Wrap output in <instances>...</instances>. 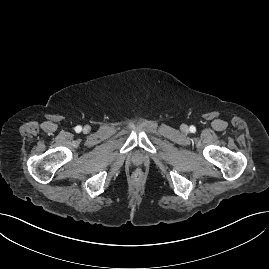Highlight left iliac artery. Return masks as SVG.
<instances>
[{
  "mask_svg": "<svg viewBox=\"0 0 269 269\" xmlns=\"http://www.w3.org/2000/svg\"><path fill=\"white\" fill-rule=\"evenodd\" d=\"M190 131L194 133L196 131V128L194 126H190Z\"/></svg>",
  "mask_w": 269,
  "mask_h": 269,
  "instance_id": "44dca946",
  "label": "left iliac artery"
}]
</instances>
